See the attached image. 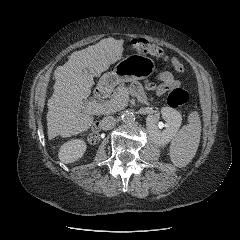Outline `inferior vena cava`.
<instances>
[{"instance_id":"602c4592","label":"inferior vena cava","mask_w":240,"mask_h":240,"mask_svg":"<svg viewBox=\"0 0 240 240\" xmlns=\"http://www.w3.org/2000/svg\"><path fill=\"white\" fill-rule=\"evenodd\" d=\"M116 125V119L113 116L104 117L100 122L102 130H111Z\"/></svg>"}]
</instances>
